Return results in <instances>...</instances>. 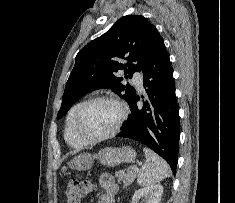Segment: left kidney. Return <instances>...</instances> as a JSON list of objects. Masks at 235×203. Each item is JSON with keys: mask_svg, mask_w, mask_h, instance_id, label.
I'll return each instance as SVG.
<instances>
[{"mask_svg": "<svg viewBox=\"0 0 235 203\" xmlns=\"http://www.w3.org/2000/svg\"><path fill=\"white\" fill-rule=\"evenodd\" d=\"M163 194V186L160 184L151 185L145 188H141L135 191L132 202L137 203L140 199L144 203H160Z\"/></svg>", "mask_w": 235, "mask_h": 203, "instance_id": "5707ae66", "label": "left kidney"}]
</instances>
